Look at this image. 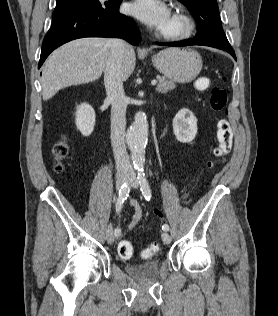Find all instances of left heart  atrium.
I'll return each mask as SVG.
<instances>
[{"mask_svg": "<svg viewBox=\"0 0 278 316\" xmlns=\"http://www.w3.org/2000/svg\"><path fill=\"white\" fill-rule=\"evenodd\" d=\"M128 11L143 23L162 28L170 16L169 9L162 0H134Z\"/></svg>", "mask_w": 278, "mask_h": 316, "instance_id": "39dd6f15", "label": "left heart atrium"}]
</instances>
